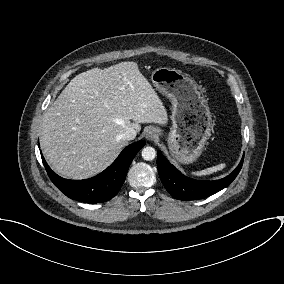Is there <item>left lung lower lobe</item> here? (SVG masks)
<instances>
[{
    "mask_svg": "<svg viewBox=\"0 0 284 284\" xmlns=\"http://www.w3.org/2000/svg\"><path fill=\"white\" fill-rule=\"evenodd\" d=\"M244 157L237 168L225 178L215 181H198L181 174L160 151L157 153V168L160 179L172 197L178 200L203 199L227 187L238 175Z\"/></svg>",
    "mask_w": 284,
    "mask_h": 284,
    "instance_id": "obj_1",
    "label": "left lung lower lobe"
}]
</instances>
